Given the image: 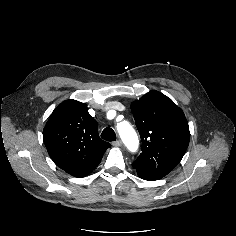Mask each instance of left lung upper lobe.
I'll use <instances>...</instances> for the list:
<instances>
[{
  "mask_svg": "<svg viewBox=\"0 0 236 236\" xmlns=\"http://www.w3.org/2000/svg\"><path fill=\"white\" fill-rule=\"evenodd\" d=\"M142 139V153L133 168L161 179L183 158L190 132L183 111L164 94L152 90L131 104Z\"/></svg>",
  "mask_w": 236,
  "mask_h": 236,
  "instance_id": "1",
  "label": "left lung upper lobe"
}]
</instances>
